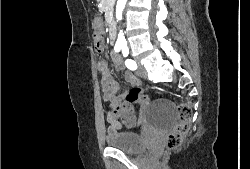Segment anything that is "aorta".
I'll return each mask as SVG.
<instances>
[{
  "instance_id": "aorta-1",
  "label": "aorta",
  "mask_w": 250,
  "mask_h": 169,
  "mask_svg": "<svg viewBox=\"0 0 250 169\" xmlns=\"http://www.w3.org/2000/svg\"><path fill=\"white\" fill-rule=\"evenodd\" d=\"M126 2H127V0H117V4H116V18H117V20H122L123 10L125 8ZM118 38H122V40H125L122 30H120V32L118 34Z\"/></svg>"
}]
</instances>
